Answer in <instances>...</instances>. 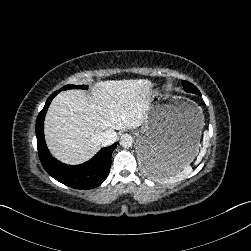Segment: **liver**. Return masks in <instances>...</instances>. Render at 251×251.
<instances>
[{
	"label": "liver",
	"instance_id": "6515ba94",
	"mask_svg": "<svg viewBox=\"0 0 251 251\" xmlns=\"http://www.w3.org/2000/svg\"><path fill=\"white\" fill-rule=\"evenodd\" d=\"M150 79L100 81L91 94L65 90L52 100L44 118L49 153L67 165L90 161L100 150V134L136 128L146 120Z\"/></svg>",
	"mask_w": 251,
	"mask_h": 251
}]
</instances>
